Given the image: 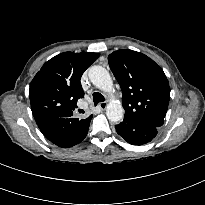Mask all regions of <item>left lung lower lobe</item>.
<instances>
[{
    "mask_svg": "<svg viewBox=\"0 0 205 205\" xmlns=\"http://www.w3.org/2000/svg\"><path fill=\"white\" fill-rule=\"evenodd\" d=\"M115 129L129 144L143 145L150 142L157 135L158 127L124 117L120 124L115 125Z\"/></svg>",
    "mask_w": 205,
    "mask_h": 205,
    "instance_id": "obj_1",
    "label": "left lung lower lobe"
}]
</instances>
